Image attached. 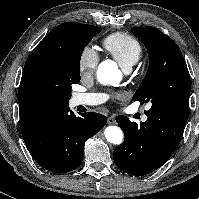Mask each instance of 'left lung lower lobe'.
Returning <instances> with one entry per match:
<instances>
[{
  "label": "left lung lower lobe",
  "instance_id": "0a47b994",
  "mask_svg": "<svg viewBox=\"0 0 199 199\" xmlns=\"http://www.w3.org/2000/svg\"><path fill=\"white\" fill-rule=\"evenodd\" d=\"M147 121L138 125L128 117H116L125 140L113 152L116 166L123 172L142 176L161 167L176 151L187 117L173 112L150 109Z\"/></svg>",
  "mask_w": 199,
  "mask_h": 199
}]
</instances>
